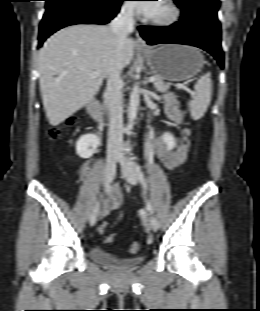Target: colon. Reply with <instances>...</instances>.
Masks as SVG:
<instances>
[{
  "label": "colon",
  "mask_w": 260,
  "mask_h": 311,
  "mask_svg": "<svg viewBox=\"0 0 260 311\" xmlns=\"http://www.w3.org/2000/svg\"><path fill=\"white\" fill-rule=\"evenodd\" d=\"M68 124L73 126V125L76 124V120L75 119H71ZM60 133H61V130L59 128H51L49 130V135L53 139L57 138L60 135ZM108 226H109L108 222H103L100 225V227H99V232L100 233H104L107 230ZM115 239H116V235L115 234H109V235H107L105 237L104 241L106 243H113L115 241ZM128 249H129V252L131 254H136L139 251V249H140V245H139L138 242H132L129 245Z\"/></svg>",
  "instance_id": "1"
}]
</instances>
